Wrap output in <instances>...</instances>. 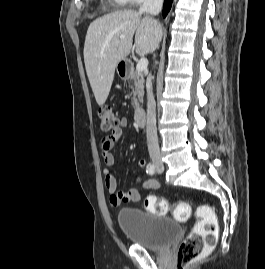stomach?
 I'll use <instances>...</instances> for the list:
<instances>
[{
  "label": "stomach",
  "instance_id": "1",
  "mask_svg": "<svg viewBox=\"0 0 265 269\" xmlns=\"http://www.w3.org/2000/svg\"><path fill=\"white\" fill-rule=\"evenodd\" d=\"M118 66H120L121 70H118V69H117V71H118V73L121 75L122 72H123V71H122V67H123V66H124V67H125V66L127 67V66H128V62H127L126 60H122V61H120V62L117 64L116 67L118 68Z\"/></svg>",
  "mask_w": 265,
  "mask_h": 269
}]
</instances>
